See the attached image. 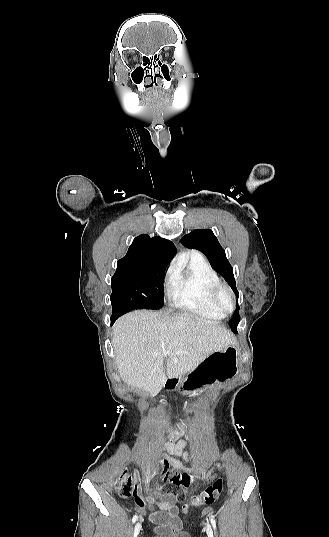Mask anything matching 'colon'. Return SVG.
I'll return each mask as SVG.
<instances>
[{"label": "colon", "mask_w": 329, "mask_h": 537, "mask_svg": "<svg viewBox=\"0 0 329 537\" xmlns=\"http://www.w3.org/2000/svg\"><path fill=\"white\" fill-rule=\"evenodd\" d=\"M185 430L180 429H168L167 430V439L170 441L176 440L179 436L183 435ZM116 490L123 497H128L132 494L138 495L142 493L139 486L134 483L132 476L128 472H123V474L115 482ZM223 489L222 479L216 480L212 485L208 486L203 490L199 495L194 496L192 500L188 503H185L182 508L185 514H189L196 507L208 505L213 503L220 495Z\"/></svg>", "instance_id": "1"}]
</instances>
